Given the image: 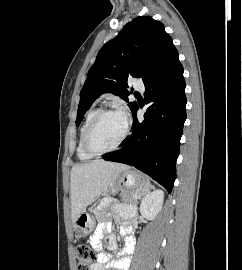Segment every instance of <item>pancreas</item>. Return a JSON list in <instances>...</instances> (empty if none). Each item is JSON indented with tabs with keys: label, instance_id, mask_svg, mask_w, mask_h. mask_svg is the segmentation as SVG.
Wrapping results in <instances>:
<instances>
[{
	"label": "pancreas",
	"instance_id": "obj_1",
	"mask_svg": "<svg viewBox=\"0 0 242 270\" xmlns=\"http://www.w3.org/2000/svg\"><path fill=\"white\" fill-rule=\"evenodd\" d=\"M136 195H137L136 192H134V191H128V190H124L121 193L122 200L125 203H128L130 205H133L135 207L138 204L137 199L135 198Z\"/></svg>",
	"mask_w": 242,
	"mask_h": 270
}]
</instances>
